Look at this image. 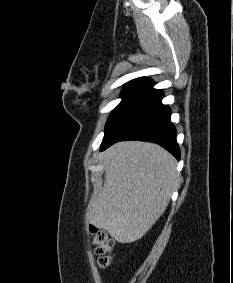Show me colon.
Masks as SVG:
<instances>
[{
    "instance_id": "colon-1",
    "label": "colon",
    "mask_w": 233,
    "mask_h": 283,
    "mask_svg": "<svg viewBox=\"0 0 233 283\" xmlns=\"http://www.w3.org/2000/svg\"><path fill=\"white\" fill-rule=\"evenodd\" d=\"M89 231L92 235L95 251L98 255V263L101 267H107L112 262L111 252L114 247L113 240L105 231H102L95 226H90Z\"/></svg>"
}]
</instances>
